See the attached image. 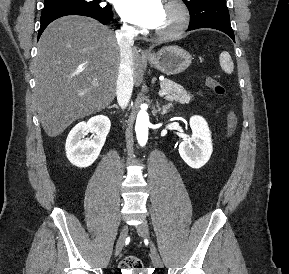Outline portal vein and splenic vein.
Returning a JSON list of instances; mask_svg holds the SVG:
<instances>
[{"label":"portal vein and splenic vein","instance_id":"portal-vein-and-splenic-vein-1","mask_svg":"<svg viewBox=\"0 0 289 274\" xmlns=\"http://www.w3.org/2000/svg\"><path fill=\"white\" fill-rule=\"evenodd\" d=\"M165 94H166V92L164 90L159 91L160 96H164Z\"/></svg>","mask_w":289,"mask_h":274}]
</instances>
